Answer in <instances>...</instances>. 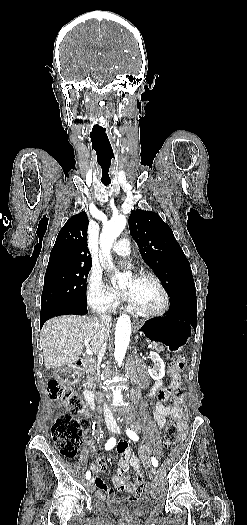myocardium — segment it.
I'll return each mask as SVG.
<instances>
[{
  "label": "myocardium",
  "mask_w": 247,
  "mask_h": 525,
  "mask_svg": "<svg viewBox=\"0 0 247 525\" xmlns=\"http://www.w3.org/2000/svg\"><path fill=\"white\" fill-rule=\"evenodd\" d=\"M130 262H131L132 267H134L135 266L134 263L131 260H130ZM139 277L140 278H150V279H152L155 282V284L158 286L160 291L162 292V294H163V301L157 307H149V306L145 305L144 303H142V302H140L138 300L133 301V303L136 304L137 306H139L142 314H144V315H157V314L163 313L167 309V307L169 306L170 299H169V294H168L166 288L164 287V285L162 284L161 280L159 279V277L154 272H151V271H141L139 273Z\"/></svg>",
  "instance_id": "1"
}]
</instances>
